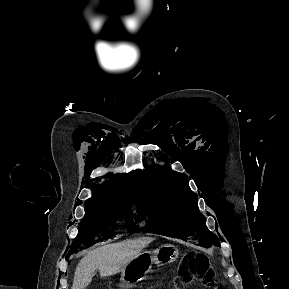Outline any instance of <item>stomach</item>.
<instances>
[{
	"mask_svg": "<svg viewBox=\"0 0 289 289\" xmlns=\"http://www.w3.org/2000/svg\"><path fill=\"white\" fill-rule=\"evenodd\" d=\"M179 252L175 246L164 244L153 251H141L125 268L121 270V285L131 287L143 279L152 268V264L163 265L176 260Z\"/></svg>",
	"mask_w": 289,
	"mask_h": 289,
	"instance_id": "stomach-1",
	"label": "stomach"
}]
</instances>
